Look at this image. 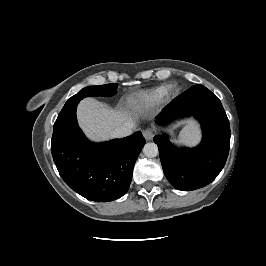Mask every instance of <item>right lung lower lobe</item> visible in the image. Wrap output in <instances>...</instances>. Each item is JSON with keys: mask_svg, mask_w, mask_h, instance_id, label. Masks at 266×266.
Returning a JSON list of instances; mask_svg holds the SVG:
<instances>
[{"mask_svg": "<svg viewBox=\"0 0 266 266\" xmlns=\"http://www.w3.org/2000/svg\"><path fill=\"white\" fill-rule=\"evenodd\" d=\"M75 102L54 123L51 152L64 182L88 200L109 202L123 196L145 144L140 132L104 143H92L82 133Z\"/></svg>", "mask_w": 266, "mask_h": 266, "instance_id": "right-lung-lower-lobe-1", "label": "right lung lower lobe"}]
</instances>
